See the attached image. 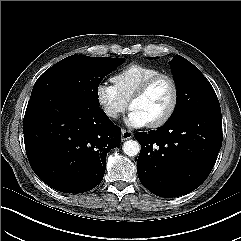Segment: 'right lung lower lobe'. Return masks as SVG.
I'll return each mask as SVG.
<instances>
[{
	"mask_svg": "<svg viewBox=\"0 0 241 241\" xmlns=\"http://www.w3.org/2000/svg\"><path fill=\"white\" fill-rule=\"evenodd\" d=\"M23 133L35 174L64 193L96 187L105 173L107 153L121 141V129L100 107L60 94L29 100Z\"/></svg>",
	"mask_w": 241,
	"mask_h": 241,
	"instance_id": "obj_1",
	"label": "right lung lower lobe"
}]
</instances>
